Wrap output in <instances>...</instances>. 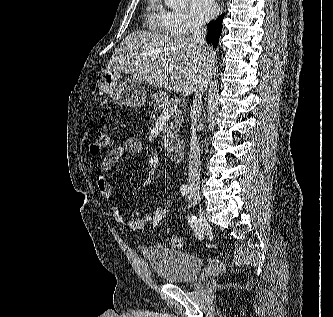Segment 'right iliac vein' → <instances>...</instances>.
<instances>
[{"label":"right iliac vein","mask_w":333,"mask_h":317,"mask_svg":"<svg viewBox=\"0 0 333 317\" xmlns=\"http://www.w3.org/2000/svg\"><path fill=\"white\" fill-rule=\"evenodd\" d=\"M194 200L196 201V203H200V199H199V195L197 192H192L191 193ZM200 223H201V226H202V229L203 230H208L209 229V225L205 219V217L203 216V214L200 215Z\"/></svg>","instance_id":"63e3f726"}]
</instances>
